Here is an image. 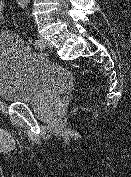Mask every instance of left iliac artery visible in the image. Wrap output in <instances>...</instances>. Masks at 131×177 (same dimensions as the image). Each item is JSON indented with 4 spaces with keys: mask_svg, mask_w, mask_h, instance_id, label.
Returning a JSON list of instances; mask_svg holds the SVG:
<instances>
[{
    "mask_svg": "<svg viewBox=\"0 0 131 177\" xmlns=\"http://www.w3.org/2000/svg\"><path fill=\"white\" fill-rule=\"evenodd\" d=\"M34 45L36 48H40L41 47V43L36 39L34 40Z\"/></svg>",
    "mask_w": 131,
    "mask_h": 177,
    "instance_id": "obj_1",
    "label": "left iliac artery"
}]
</instances>
